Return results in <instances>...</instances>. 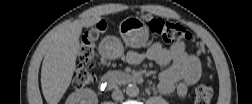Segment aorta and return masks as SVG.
I'll use <instances>...</instances> for the list:
<instances>
[{"instance_id": "obj_1", "label": "aorta", "mask_w": 252, "mask_h": 104, "mask_svg": "<svg viewBox=\"0 0 252 104\" xmlns=\"http://www.w3.org/2000/svg\"><path fill=\"white\" fill-rule=\"evenodd\" d=\"M126 94L129 97H137L139 95V87L135 84H130L126 88Z\"/></svg>"}]
</instances>
